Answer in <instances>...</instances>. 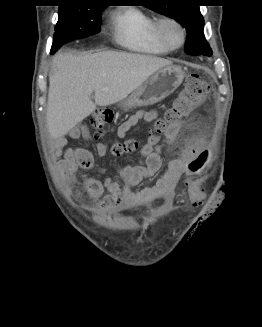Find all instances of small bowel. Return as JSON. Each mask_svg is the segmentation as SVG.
Returning <instances> with one entry per match:
<instances>
[{
	"label": "small bowel",
	"instance_id": "1",
	"mask_svg": "<svg viewBox=\"0 0 262 327\" xmlns=\"http://www.w3.org/2000/svg\"><path fill=\"white\" fill-rule=\"evenodd\" d=\"M159 114L155 110L138 111L124 121L117 130V136L124 138L129 131L140 123H149L158 118ZM182 129L181 124L171 126L164 133V143H161V134H151L141 147L142 160L137 163H130L116 169L117 176L122 180L119 184L112 179L96 178L86 173H81L79 178L83 183L89 196L93 199L100 198L99 208L102 211L113 209H131L138 206L150 204L162 198H170L176 192L183 176L187 172V165H203L197 159L201 151L200 141L185 139L180 155L169 162L163 175L152 185L143 187L138 191L132 188L142 182V180L154 176L162 166V153L177 140ZM82 136L87 141H92L89 130L86 126L71 130L68 137ZM62 139V144L63 141ZM97 154L103 157L107 153V146L102 142L95 144ZM62 158L58 161V172L64 178H72L78 169L88 170L93 167V156L84 148H68L63 153L62 150L56 152ZM207 188H188L187 193L191 206H206L205 196Z\"/></svg>",
	"mask_w": 262,
	"mask_h": 327
}]
</instances>
